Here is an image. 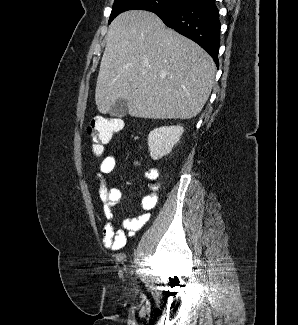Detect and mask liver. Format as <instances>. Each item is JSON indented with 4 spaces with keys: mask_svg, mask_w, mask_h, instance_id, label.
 Here are the masks:
<instances>
[{
    "mask_svg": "<svg viewBox=\"0 0 298 325\" xmlns=\"http://www.w3.org/2000/svg\"><path fill=\"white\" fill-rule=\"evenodd\" d=\"M215 62L199 44L148 10L118 14L106 34L95 102L107 114L118 98L131 116L193 118L214 84Z\"/></svg>",
    "mask_w": 298,
    "mask_h": 325,
    "instance_id": "liver-1",
    "label": "liver"
}]
</instances>
